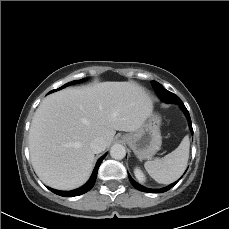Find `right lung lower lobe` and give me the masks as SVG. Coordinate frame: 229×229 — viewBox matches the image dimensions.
Listing matches in <instances>:
<instances>
[{"mask_svg": "<svg viewBox=\"0 0 229 229\" xmlns=\"http://www.w3.org/2000/svg\"><path fill=\"white\" fill-rule=\"evenodd\" d=\"M106 156L103 155L97 162L95 168H94V171L89 179V181L82 187L78 188V189H75V190H72V191H58V190H55V189H52V188H49L48 189L50 191H52L53 193L57 194V195H60V196H68V197H74V196H78V195H81V194H84L86 192H88L93 186H94V183L96 181V177H97V172H98V168L100 166V163L102 162V160L104 159V157Z\"/></svg>", "mask_w": 229, "mask_h": 229, "instance_id": "obj_1", "label": "right lung lower lobe"}]
</instances>
